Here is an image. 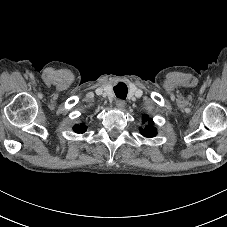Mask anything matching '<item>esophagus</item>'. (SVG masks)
Wrapping results in <instances>:
<instances>
[{"label":"esophagus","instance_id":"obj_1","mask_svg":"<svg viewBox=\"0 0 227 227\" xmlns=\"http://www.w3.org/2000/svg\"><path fill=\"white\" fill-rule=\"evenodd\" d=\"M115 104H116V107L122 109V108H124V106H125L126 103L122 99H117L116 102H115Z\"/></svg>","mask_w":227,"mask_h":227}]
</instances>
